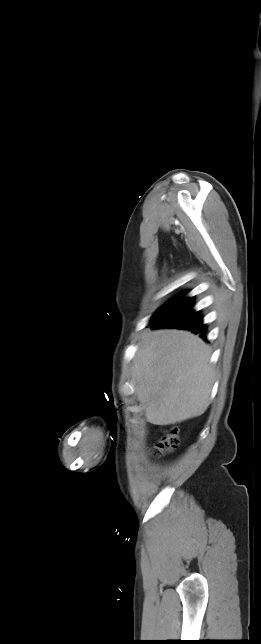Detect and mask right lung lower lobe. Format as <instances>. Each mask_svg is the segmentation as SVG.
I'll return each mask as SVG.
<instances>
[{
  "mask_svg": "<svg viewBox=\"0 0 261 644\" xmlns=\"http://www.w3.org/2000/svg\"><path fill=\"white\" fill-rule=\"evenodd\" d=\"M193 306L194 303L191 301L166 317L151 321L149 326L152 328H178L192 331L195 334L206 333L207 327L203 324V316L199 311H194ZM201 337L206 339V335H201Z\"/></svg>",
  "mask_w": 261,
  "mask_h": 644,
  "instance_id": "obj_1",
  "label": "right lung lower lobe"
}]
</instances>
